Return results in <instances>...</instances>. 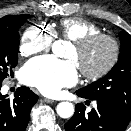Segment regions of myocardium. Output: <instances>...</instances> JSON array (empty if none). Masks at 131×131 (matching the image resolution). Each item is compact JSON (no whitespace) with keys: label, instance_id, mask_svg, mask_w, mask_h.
I'll use <instances>...</instances> for the list:
<instances>
[{"label":"myocardium","instance_id":"1","mask_svg":"<svg viewBox=\"0 0 131 131\" xmlns=\"http://www.w3.org/2000/svg\"><path fill=\"white\" fill-rule=\"evenodd\" d=\"M99 40H104L108 42L111 46V56L107 63L101 69L94 72H89L82 68H79L81 74L85 78L92 80H97L106 76L115 67L120 55V44L114 36L102 32L86 35L73 42L74 47L78 51H83L84 49L88 48L90 45Z\"/></svg>","mask_w":131,"mask_h":131}]
</instances>
